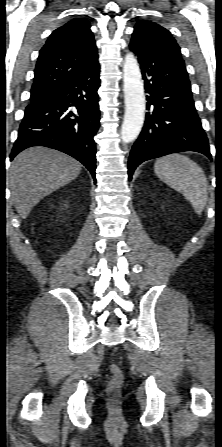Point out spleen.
Wrapping results in <instances>:
<instances>
[{
  "instance_id": "1",
  "label": "spleen",
  "mask_w": 222,
  "mask_h": 447,
  "mask_svg": "<svg viewBox=\"0 0 222 447\" xmlns=\"http://www.w3.org/2000/svg\"><path fill=\"white\" fill-rule=\"evenodd\" d=\"M157 176L171 188L182 193L201 214L207 203V179L203 170L189 157L174 153L155 162Z\"/></svg>"
}]
</instances>
